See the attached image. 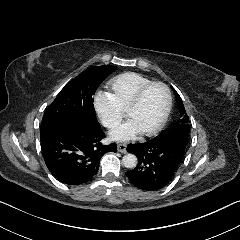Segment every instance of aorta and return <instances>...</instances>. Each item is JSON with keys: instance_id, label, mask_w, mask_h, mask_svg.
<instances>
[{"instance_id": "aorta-1", "label": "aorta", "mask_w": 240, "mask_h": 240, "mask_svg": "<svg viewBox=\"0 0 240 240\" xmlns=\"http://www.w3.org/2000/svg\"><path fill=\"white\" fill-rule=\"evenodd\" d=\"M122 163L127 168H134L138 163V158L134 154H126L122 159Z\"/></svg>"}]
</instances>
